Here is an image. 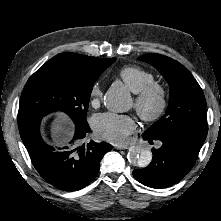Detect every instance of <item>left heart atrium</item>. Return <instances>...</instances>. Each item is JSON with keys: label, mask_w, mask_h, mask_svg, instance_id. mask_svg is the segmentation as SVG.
<instances>
[{"label": "left heart atrium", "mask_w": 221, "mask_h": 221, "mask_svg": "<svg viewBox=\"0 0 221 221\" xmlns=\"http://www.w3.org/2000/svg\"><path fill=\"white\" fill-rule=\"evenodd\" d=\"M97 135L109 142L121 144L136 129L132 116L116 113H100L93 118Z\"/></svg>", "instance_id": "1"}]
</instances>
